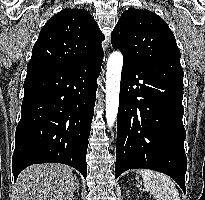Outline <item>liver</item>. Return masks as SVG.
Segmentation results:
<instances>
[{
    "instance_id": "obj_1",
    "label": "liver",
    "mask_w": 205,
    "mask_h": 200,
    "mask_svg": "<svg viewBox=\"0 0 205 200\" xmlns=\"http://www.w3.org/2000/svg\"><path fill=\"white\" fill-rule=\"evenodd\" d=\"M72 169L57 163L25 168L16 182L17 200H72L76 189Z\"/></svg>"
}]
</instances>
